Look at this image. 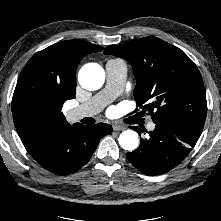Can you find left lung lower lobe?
Segmentation results:
<instances>
[{
  "instance_id": "obj_1",
  "label": "left lung lower lobe",
  "mask_w": 221,
  "mask_h": 221,
  "mask_svg": "<svg viewBox=\"0 0 221 221\" xmlns=\"http://www.w3.org/2000/svg\"><path fill=\"white\" fill-rule=\"evenodd\" d=\"M148 139L127 153L132 165L148 176L164 174L175 168L189 154L198 141L202 129L190 124L155 123ZM139 134L140 129L133 127Z\"/></svg>"
}]
</instances>
